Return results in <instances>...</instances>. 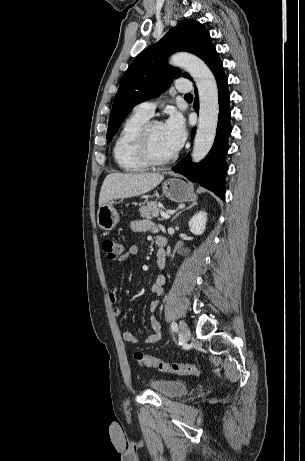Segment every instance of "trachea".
Instances as JSON below:
<instances>
[{
  "instance_id": "3493384b",
  "label": "trachea",
  "mask_w": 305,
  "mask_h": 461,
  "mask_svg": "<svg viewBox=\"0 0 305 461\" xmlns=\"http://www.w3.org/2000/svg\"><path fill=\"white\" fill-rule=\"evenodd\" d=\"M185 97H192V94L188 93L185 95Z\"/></svg>"
}]
</instances>
